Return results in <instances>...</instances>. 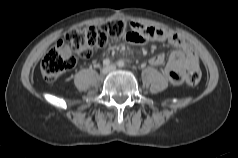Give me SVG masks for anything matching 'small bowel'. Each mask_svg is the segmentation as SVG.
<instances>
[{
	"instance_id": "c3829d8e",
	"label": "small bowel",
	"mask_w": 238,
	"mask_h": 158,
	"mask_svg": "<svg viewBox=\"0 0 238 158\" xmlns=\"http://www.w3.org/2000/svg\"><path fill=\"white\" fill-rule=\"evenodd\" d=\"M133 33L127 38L132 44H145L149 41L168 42L176 48L166 63L165 73L172 84H179L184 78L186 71L199 68V59L192 47L178 34L153 26H145L140 23H132ZM166 61L164 54L153 56L149 63L152 66H161Z\"/></svg>"
}]
</instances>
